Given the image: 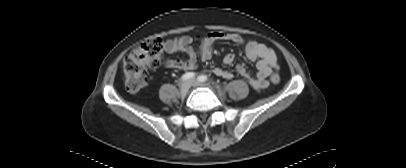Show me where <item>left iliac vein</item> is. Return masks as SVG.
<instances>
[{
	"label": "left iliac vein",
	"instance_id": "obj_1",
	"mask_svg": "<svg viewBox=\"0 0 406 168\" xmlns=\"http://www.w3.org/2000/svg\"><path fill=\"white\" fill-rule=\"evenodd\" d=\"M192 81V85L193 86H203L204 84L203 83H200L199 81H197V80H191Z\"/></svg>",
	"mask_w": 406,
	"mask_h": 168
}]
</instances>
